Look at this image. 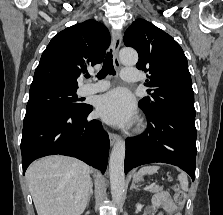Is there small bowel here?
<instances>
[{"label":"small bowel","instance_id":"small-bowel-1","mask_svg":"<svg viewBox=\"0 0 223 215\" xmlns=\"http://www.w3.org/2000/svg\"><path fill=\"white\" fill-rule=\"evenodd\" d=\"M153 207L162 209L158 215H180L179 213H174L175 204L172 201L170 195L165 191H160L156 193L152 199Z\"/></svg>","mask_w":223,"mask_h":215}]
</instances>
